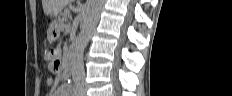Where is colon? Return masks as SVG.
<instances>
[{
    "mask_svg": "<svg viewBox=\"0 0 232 96\" xmlns=\"http://www.w3.org/2000/svg\"><path fill=\"white\" fill-rule=\"evenodd\" d=\"M46 59L50 63L53 70H58L60 67V57L57 49H51L46 53Z\"/></svg>",
    "mask_w": 232,
    "mask_h": 96,
    "instance_id": "colon-1",
    "label": "colon"
}]
</instances>
